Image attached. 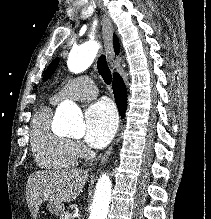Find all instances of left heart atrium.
<instances>
[{"label":"left heart atrium","mask_w":211,"mask_h":219,"mask_svg":"<svg viewBox=\"0 0 211 219\" xmlns=\"http://www.w3.org/2000/svg\"><path fill=\"white\" fill-rule=\"evenodd\" d=\"M85 141L88 145L101 148L113 138L118 118L113 105L105 100L98 101L88 108L85 114Z\"/></svg>","instance_id":"1"}]
</instances>
